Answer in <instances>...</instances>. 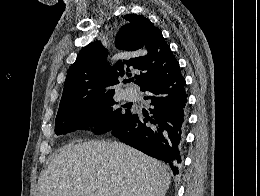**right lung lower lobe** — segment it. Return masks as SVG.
I'll return each instance as SVG.
<instances>
[{
    "label": "right lung lower lobe",
    "instance_id": "right-lung-lower-lobe-1",
    "mask_svg": "<svg viewBox=\"0 0 260 196\" xmlns=\"http://www.w3.org/2000/svg\"><path fill=\"white\" fill-rule=\"evenodd\" d=\"M150 103L148 113H133L112 134L120 141L143 153L167 162L174 175L179 174L184 143L187 94L180 69L141 89Z\"/></svg>",
    "mask_w": 260,
    "mask_h": 196
}]
</instances>
